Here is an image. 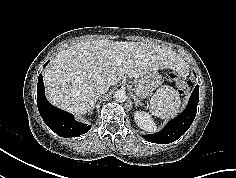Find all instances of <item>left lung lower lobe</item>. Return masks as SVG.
<instances>
[{"mask_svg":"<svg viewBox=\"0 0 236 178\" xmlns=\"http://www.w3.org/2000/svg\"><path fill=\"white\" fill-rule=\"evenodd\" d=\"M199 101V86L193 90L188 105L181 115L171 120L167 126L156 134L144 135L149 142L167 144L176 141L191 126L196 115Z\"/></svg>","mask_w":236,"mask_h":178,"instance_id":"0a47b994","label":"left lung lower lobe"}]
</instances>
